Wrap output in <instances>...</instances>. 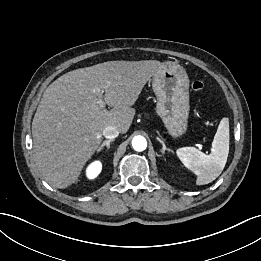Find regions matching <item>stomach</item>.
<instances>
[{"mask_svg":"<svg viewBox=\"0 0 261 261\" xmlns=\"http://www.w3.org/2000/svg\"><path fill=\"white\" fill-rule=\"evenodd\" d=\"M152 87L157 97L156 113L172 137H181L187 131L190 111L189 78L185 69L175 62L162 63L152 77Z\"/></svg>","mask_w":261,"mask_h":261,"instance_id":"0dacf381","label":"stomach"}]
</instances>
